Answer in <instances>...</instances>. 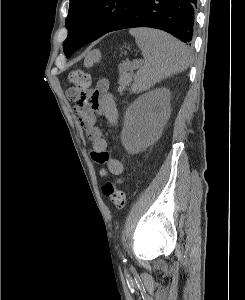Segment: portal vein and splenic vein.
I'll list each match as a JSON object with an SVG mask.
<instances>
[{
	"label": "portal vein and splenic vein",
	"instance_id": "obj_1",
	"mask_svg": "<svg viewBox=\"0 0 245 300\" xmlns=\"http://www.w3.org/2000/svg\"><path fill=\"white\" fill-rule=\"evenodd\" d=\"M133 63H134V67H135V66L139 65L141 63V61L134 60Z\"/></svg>",
	"mask_w": 245,
	"mask_h": 300
}]
</instances>
